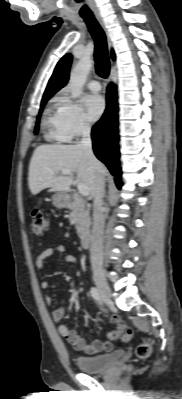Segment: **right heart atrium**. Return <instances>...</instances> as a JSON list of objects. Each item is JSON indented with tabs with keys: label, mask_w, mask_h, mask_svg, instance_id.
<instances>
[{
	"label": "right heart atrium",
	"mask_w": 182,
	"mask_h": 399,
	"mask_svg": "<svg viewBox=\"0 0 182 399\" xmlns=\"http://www.w3.org/2000/svg\"><path fill=\"white\" fill-rule=\"evenodd\" d=\"M60 123L66 139L82 136L89 131L91 125L81 106L64 96L60 99Z\"/></svg>",
	"instance_id": "right-heart-atrium-1"
}]
</instances>
